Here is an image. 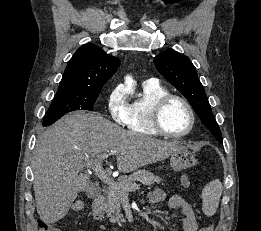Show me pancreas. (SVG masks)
Segmentation results:
<instances>
[{"label": "pancreas", "mask_w": 261, "mask_h": 231, "mask_svg": "<svg viewBox=\"0 0 261 231\" xmlns=\"http://www.w3.org/2000/svg\"><path fill=\"white\" fill-rule=\"evenodd\" d=\"M135 182H141L144 185H152L160 183L161 178L155 176L151 171L146 169L137 170L128 177L121 176L118 181L120 188L110 187L106 194L105 210L107 217L110 218V222L120 223L125 221L121 213V197L127 193L124 191V188L135 186Z\"/></svg>", "instance_id": "1"}]
</instances>
